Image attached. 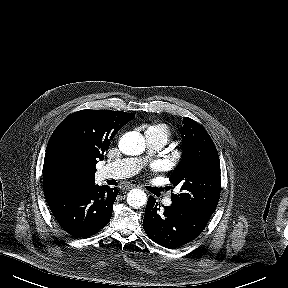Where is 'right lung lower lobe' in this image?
Returning a JSON list of instances; mask_svg holds the SVG:
<instances>
[{"label":"right lung lower lobe","mask_w":288,"mask_h":288,"mask_svg":"<svg viewBox=\"0 0 288 288\" xmlns=\"http://www.w3.org/2000/svg\"><path fill=\"white\" fill-rule=\"evenodd\" d=\"M119 190L95 183L46 198L60 224L70 235L86 238L96 234L110 221Z\"/></svg>","instance_id":"1"}]
</instances>
